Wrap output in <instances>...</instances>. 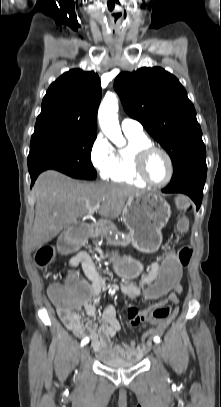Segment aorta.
Instances as JSON below:
<instances>
[{"label": "aorta", "instance_id": "aorta-1", "mask_svg": "<svg viewBox=\"0 0 221 407\" xmlns=\"http://www.w3.org/2000/svg\"><path fill=\"white\" fill-rule=\"evenodd\" d=\"M118 98L114 93H108L102 100L98 121L102 132L117 146L124 143L118 121Z\"/></svg>", "mask_w": 221, "mask_h": 407}]
</instances>
